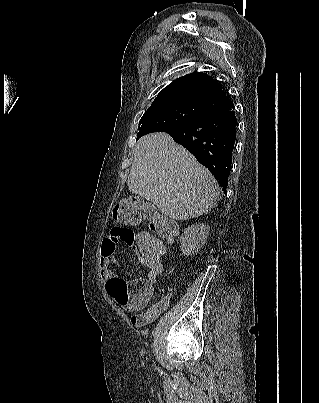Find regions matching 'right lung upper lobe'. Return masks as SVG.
<instances>
[{"mask_svg":"<svg viewBox=\"0 0 319 403\" xmlns=\"http://www.w3.org/2000/svg\"><path fill=\"white\" fill-rule=\"evenodd\" d=\"M189 102L208 108L211 113L231 110L233 104L222 86L205 73H191L166 86L151 105Z\"/></svg>","mask_w":319,"mask_h":403,"instance_id":"right-lung-upper-lobe-1","label":"right lung upper lobe"}]
</instances>
